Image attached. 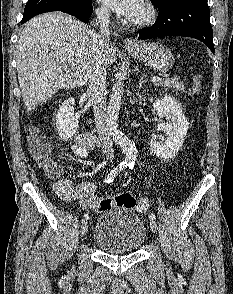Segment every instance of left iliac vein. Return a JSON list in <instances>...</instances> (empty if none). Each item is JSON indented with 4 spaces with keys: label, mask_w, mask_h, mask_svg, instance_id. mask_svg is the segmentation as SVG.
Segmentation results:
<instances>
[{
    "label": "left iliac vein",
    "mask_w": 233,
    "mask_h": 294,
    "mask_svg": "<svg viewBox=\"0 0 233 294\" xmlns=\"http://www.w3.org/2000/svg\"><path fill=\"white\" fill-rule=\"evenodd\" d=\"M150 228L153 232H157L158 231V225L155 222V220H150Z\"/></svg>",
    "instance_id": "obj_1"
}]
</instances>
